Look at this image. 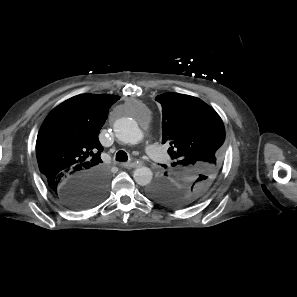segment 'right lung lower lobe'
I'll return each mask as SVG.
<instances>
[{
    "instance_id": "right-lung-lower-lobe-1",
    "label": "right lung lower lobe",
    "mask_w": 297,
    "mask_h": 297,
    "mask_svg": "<svg viewBox=\"0 0 297 297\" xmlns=\"http://www.w3.org/2000/svg\"><path fill=\"white\" fill-rule=\"evenodd\" d=\"M108 180L107 173L101 171L79 175L54 195L71 208H88L105 197Z\"/></svg>"
}]
</instances>
